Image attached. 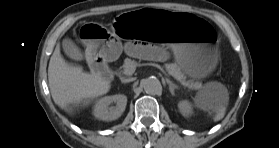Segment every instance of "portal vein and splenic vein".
I'll return each mask as SVG.
<instances>
[{"label":"portal vein and splenic vein","mask_w":279,"mask_h":148,"mask_svg":"<svg viewBox=\"0 0 279 148\" xmlns=\"http://www.w3.org/2000/svg\"><path fill=\"white\" fill-rule=\"evenodd\" d=\"M153 65L156 66V67H158V68H160V66L157 65V64H153ZM135 68H136V65H134L131 69L125 70V73H126V74H132V73H134ZM160 69H161V68H160ZM161 70H162V69H161ZM182 85L187 86V87H190V88H194V89H197V88H199V86H200V85H198V84L189 85V84L186 83V82H183Z\"/></svg>","instance_id":"portal-vein-and-splenic-vein-1"}]
</instances>
